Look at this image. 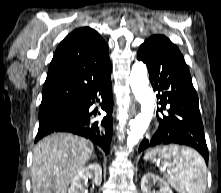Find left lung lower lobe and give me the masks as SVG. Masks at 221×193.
Instances as JSON below:
<instances>
[{
  "mask_svg": "<svg viewBox=\"0 0 221 193\" xmlns=\"http://www.w3.org/2000/svg\"><path fill=\"white\" fill-rule=\"evenodd\" d=\"M137 59L146 63L153 90L158 91L162 105L158 108L162 113L159 128L152 138L141 142L139 151L168 144L185 145L195 148L208 163L198 96L183 56L143 43ZM166 104H170V109H165Z\"/></svg>",
  "mask_w": 221,
  "mask_h": 193,
  "instance_id": "obj_1",
  "label": "left lung lower lobe"
}]
</instances>
